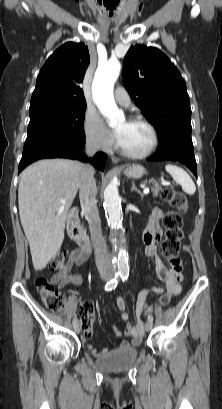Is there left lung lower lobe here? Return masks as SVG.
I'll use <instances>...</instances> for the list:
<instances>
[{"mask_svg": "<svg viewBox=\"0 0 222 409\" xmlns=\"http://www.w3.org/2000/svg\"><path fill=\"white\" fill-rule=\"evenodd\" d=\"M150 161H179L197 175V164L191 138L171 137L160 143L157 152Z\"/></svg>", "mask_w": 222, "mask_h": 409, "instance_id": "obj_1", "label": "left lung lower lobe"}]
</instances>
